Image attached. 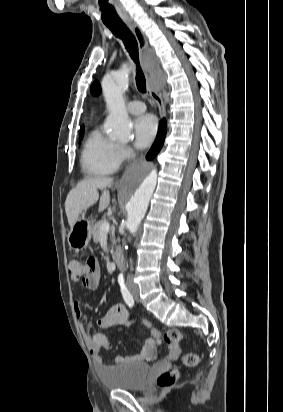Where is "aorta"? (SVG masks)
I'll return each mask as SVG.
<instances>
[{
  "label": "aorta",
  "instance_id": "obj_1",
  "mask_svg": "<svg viewBox=\"0 0 283 412\" xmlns=\"http://www.w3.org/2000/svg\"><path fill=\"white\" fill-rule=\"evenodd\" d=\"M130 69L127 67L104 78L102 90L109 110L107 121L108 134L113 139H128L131 126L123 94L129 85ZM155 170L137 168L128 170L121 182V192L126 199V228L131 234L136 233L145 216L149 201L156 186Z\"/></svg>",
  "mask_w": 283,
  "mask_h": 412
}]
</instances>
